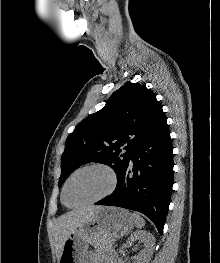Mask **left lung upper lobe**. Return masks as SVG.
Listing matches in <instances>:
<instances>
[{
  "instance_id": "left-lung-upper-lobe-1",
  "label": "left lung upper lobe",
  "mask_w": 220,
  "mask_h": 263,
  "mask_svg": "<svg viewBox=\"0 0 220 263\" xmlns=\"http://www.w3.org/2000/svg\"><path fill=\"white\" fill-rule=\"evenodd\" d=\"M165 118L156 95L126 82L98 112L81 121L67 137L59 187L75 169L89 162L110 166L120 177L135 145ZM126 153L121 154V147Z\"/></svg>"
}]
</instances>
